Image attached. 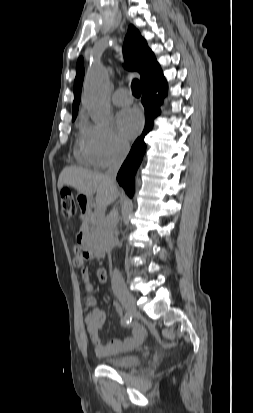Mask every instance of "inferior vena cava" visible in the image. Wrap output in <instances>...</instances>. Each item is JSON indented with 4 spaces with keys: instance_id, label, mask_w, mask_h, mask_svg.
Returning <instances> with one entry per match:
<instances>
[{
    "instance_id": "inferior-vena-cava-1",
    "label": "inferior vena cava",
    "mask_w": 253,
    "mask_h": 413,
    "mask_svg": "<svg viewBox=\"0 0 253 413\" xmlns=\"http://www.w3.org/2000/svg\"><path fill=\"white\" fill-rule=\"evenodd\" d=\"M129 151V147L127 145H120L113 158L111 165L109 166L105 176L107 179L111 181V183L116 186V176L117 173L125 160ZM119 220V214L117 208H114L109 215L104 218L102 224L97 230V239L99 244L103 248L104 251L110 253L113 247L115 246L116 240L113 236V233L116 229L117 223ZM112 289L114 293H120L126 291V286L123 277L121 276L120 272L115 269L112 274Z\"/></svg>"
}]
</instances>
